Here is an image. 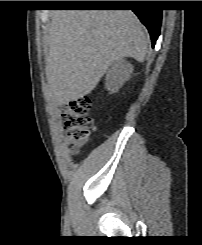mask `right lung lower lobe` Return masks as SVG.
Here are the masks:
<instances>
[{
  "label": "right lung lower lobe",
  "instance_id": "obj_1",
  "mask_svg": "<svg viewBox=\"0 0 202 245\" xmlns=\"http://www.w3.org/2000/svg\"><path fill=\"white\" fill-rule=\"evenodd\" d=\"M146 3L144 1H134V9L132 11L138 16L142 24H144L152 40V47H154L156 40L160 34L162 10L150 9L143 7ZM84 6H124L121 3H84Z\"/></svg>",
  "mask_w": 202,
  "mask_h": 245
}]
</instances>
